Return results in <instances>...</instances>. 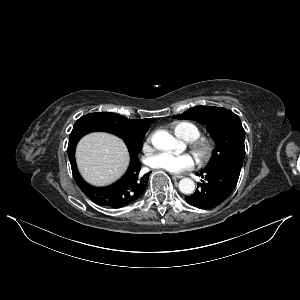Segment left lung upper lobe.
Instances as JSON below:
<instances>
[{"instance_id": "left-lung-upper-lobe-1", "label": "left lung upper lobe", "mask_w": 300, "mask_h": 300, "mask_svg": "<svg viewBox=\"0 0 300 300\" xmlns=\"http://www.w3.org/2000/svg\"><path fill=\"white\" fill-rule=\"evenodd\" d=\"M173 117L192 119L206 125L207 131L215 140L216 148L203 171L227 163L242 167L245 131L235 113L221 107L196 106Z\"/></svg>"}]
</instances>
